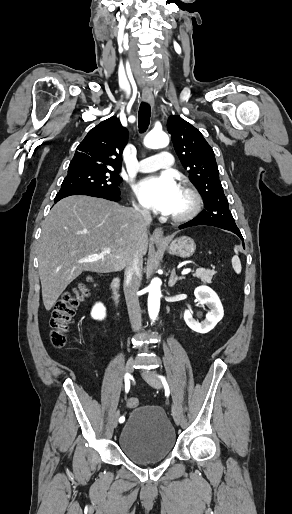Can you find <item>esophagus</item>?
I'll list each match as a JSON object with an SVG mask.
<instances>
[{
    "label": "esophagus",
    "instance_id": "1",
    "mask_svg": "<svg viewBox=\"0 0 292 514\" xmlns=\"http://www.w3.org/2000/svg\"><path fill=\"white\" fill-rule=\"evenodd\" d=\"M142 100L154 107V96L152 90L142 91ZM152 238L156 243H163L165 241L164 232L161 228H155L152 234Z\"/></svg>",
    "mask_w": 292,
    "mask_h": 514
}]
</instances>
